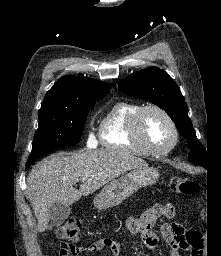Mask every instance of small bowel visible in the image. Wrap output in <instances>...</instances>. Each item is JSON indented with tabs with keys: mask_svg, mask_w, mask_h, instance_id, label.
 <instances>
[{
	"mask_svg": "<svg viewBox=\"0 0 221 256\" xmlns=\"http://www.w3.org/2000/svg\"><path fill=\"white\" fill-rule=\"evenodd\" d=\"M175 213L171 204H157L149 208L138 217H128L125 222L127 230L132 234H139L146 248L153 250L158 244L156 231L158 222L162 217H173ZM160 235L170 248V256H181L180 250L186 248V236L184 229L177 223H165L160 227ZM107 249L112 256H119L120 244L111 238H101L88 247V252L94 253ZM61 256H68L60 252Z\"/></svg>",
	"mask_w": 221,
	"mask_h": 256,
	"instance_id": "1",
	"label": "small bowel"
}]
</instances>
